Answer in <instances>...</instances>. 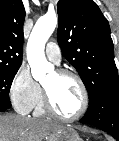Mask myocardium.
Wrapping results in <instances>:
<instances>
[{
    "instance_id": "1",
    "label": "myocardium",
    "mask_w": 119,
    "mask_h": 141,
    "mask_svg": "<svg viewBox=\"0 0 119 141\" xmlns=\"http://www.w3.org/2000/svg\"><path fill=\"white\" fill-rule=\"evenodd\" d=\"M55 72L58 76H67L76 80L82 92V105L80 110L76 114L70 116L63 115L54 107L47 90L43 86V103L46 112L53 117L63 121H75L80 119L82 116L85 115L89 107V92L83 79L77 73L67 69H57Z\"/></svg>"
}]
</instances>
